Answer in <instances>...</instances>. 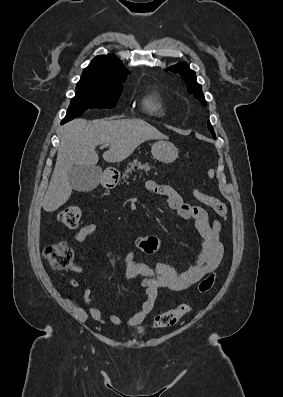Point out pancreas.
<instances>
[{"label":"pancreas","mask_w":283,"mask_h":397,"mask_svg":"<svg viewBox=\"0 0 283 397\" xmlns=\"http://www.w3.org/2000/svg\"><path fill=\"white\" fill-rule=\"evenodd\" d=\"M144 170L145 172L150 171V165L148 163H142L140 161L134 160L133 162L129 163V166L125 170L122 175L124 181L129 178V174L134 172L135 170Z\"/></svg>","instance_id":"pancreas-1"}]
</instances>
